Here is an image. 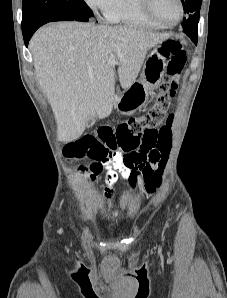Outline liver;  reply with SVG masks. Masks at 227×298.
<instances>
[{"label": "liver", "instance_id": "obj_1", "mask_svg": "<svg viewBox=\"0 0 227 298\" xmlns=\"http://www.w3.org/2000/svg\"><path fill=\"white\" fill-rule=\"evenodd\" d=\"M170 37L131 26L78 21L41 27L29 48L35 75L57 122L63 142L78 139L90 118L108 117L115 101V67L123 89L136 81L148 50Z\"/></svg>", "mask_w": 227, "mask_h": 298}]
</instances>
